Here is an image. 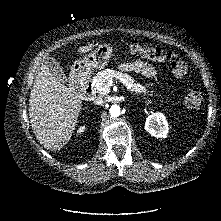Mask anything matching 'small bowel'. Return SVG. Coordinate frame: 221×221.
Masks as SVG:
<instances>
[{"label": "small bowel", "mask_w": 221, "mask_h": 221, "mask_svg": "<svg viewBox=\"0 0 221 221\" xmlns=\"http://www.w3.org/2000/svg\"><path fill=\"white\" fill-rule=\"evenodd\" d=\"M119 68L122 71H135L138 73H141L142 75L146 77H155L157 72L155 68L145 62L142 61H134V62H128V63H123L119 66Z\"/></svg>", "instance_id": "small-bowel-1"}]
</instances>
